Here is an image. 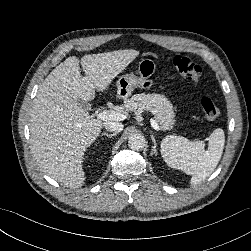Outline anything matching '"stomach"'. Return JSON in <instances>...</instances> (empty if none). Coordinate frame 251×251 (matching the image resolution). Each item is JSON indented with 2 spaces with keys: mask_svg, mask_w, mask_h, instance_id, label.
I'll return each mask as SVG.
<instances>
[{
  "mask_svg": "<svg viewBox=\"0 0 251 251\" xmlns=\"http://www.w3.org/2000/svg\"><path fill=\"white\" fill-rule=\"evenodd\" d=\"M156 64L152 59L144 58L138 63V74H126L117 81V94L120 98H127L135 88L149 89L153 81L148 78L155 72Z\"/></svg>",
  "mask_w": 251,
  "mask_h": 251,
  "instance_id": "0dacf381",
  "label": "stomach"
}]
</instances>
